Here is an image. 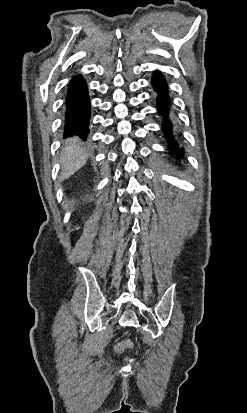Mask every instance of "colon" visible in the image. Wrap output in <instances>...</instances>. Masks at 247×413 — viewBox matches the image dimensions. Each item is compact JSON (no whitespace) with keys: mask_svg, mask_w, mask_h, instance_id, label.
Returning a JSON list of instances; mask_svg holds the SVG:
<instances>
[{"mask_svg":"<svg viewBox=\"0 0 247 413\" xmlns=\"http://www.w3.org/2000/svg\"><path fill=\"white\" fill-rule=\"evenodd\" d=\"M113 349H114L115 351H120V350L122 349V344H121L120 342H115V343L113 344ZM123 353H124L125 355H130V354L132 353V348H131L130 346H125V347L123 348Z\"/></svg>","mask_w":247,"mask_h":413,"instance_id":"5ec220e1","label":"colon"}]
</instances>
